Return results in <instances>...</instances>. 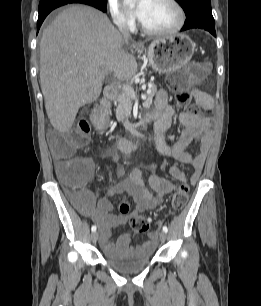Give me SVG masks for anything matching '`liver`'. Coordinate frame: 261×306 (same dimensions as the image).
<instances>
[{"mask_svg":"<svg viewBox=\"0 0 261 306\" xmlns=\"http://www.w3.org/2000/svg\"><path fill=\"white\" fill-rule=\"evenodd\" d=\"M129 42L104 13L84 5L68 7L44 29L40 85L58 132H68L79 108L99 98L108 72L120 81L135 76L137 62L123 48Z\"/></svg>","mask_w":261,"mask_h":306,"instance_id":"6515ba94","label":"liver"}]
</instances>
